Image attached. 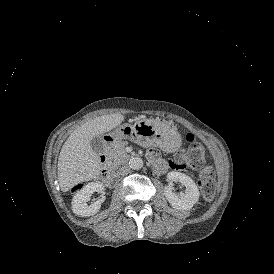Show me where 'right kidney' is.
I'll use <instances>...</instances> for the list:
<instances>
[{
	"label": "right kidney",
	"mask_w": 274,
	"mask_h": 274,
	"mask_svg": "<svg viewBox=\"0 0 274 274\" xmlns=\"http://www.w3.org/2000/svg\"><path fill=\"white\" fill-rule=\"evenodd\" d=\"M98 192L102 196L96 202L88 205L87 202L90 200L92 193ZM105 200L104 196V186L100 182H91L85 185L81 190H79L72 199V210L73 212L81 217H88L95 215L100 207L101 203Z\"/></svg>",
	"instance_id": "ca27d5eb"
}]
</instances>
